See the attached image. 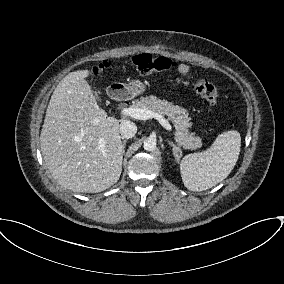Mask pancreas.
I'll return each instance as SVG.
<instances>
[{"label": "pancreas", "mask_w": 284, "mask_h": 284, "mask_svg": "<svg viewBox=\"0 0 284 284\" xmlns=\"http://www.w3.org/2000/svg\"><path fill=\"white\" fill-rule=\"evenodd\" d=\"M132 106L135 108H145L158 114L168 116L176 129V141L184 149L195 150L201 147L202 139L195 136V134L191 133L188 129L192 126V123L190 122L191 118L186 109L175 106L173 103L165 99L161 100L153 95L141 97L139 100H136Z\"/></svg>", "instance_id": "pancreas-1"}]
</instances>
